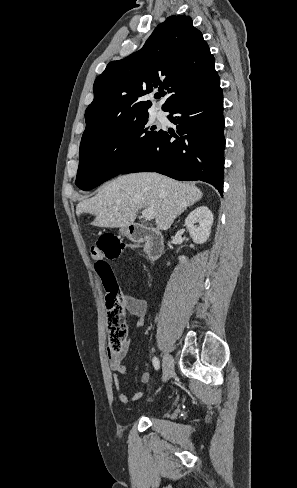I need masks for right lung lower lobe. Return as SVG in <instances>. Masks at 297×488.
Segmentation results:
<instances>
[{
  "instance_id": "98d812e1",
  "label": "right lung lower lobe",
  "mask_w": 297,
  "mask_h": 488,
  "mask_svg": "<svg viewBox=\"0 0 297 488\" xmlns=\"http://www.w3.org/2000/svg\"><path fill=\"white\" fill-rule=\"evenodd\" d=\"M169 112L176 133L161 130L122 174L158 172L177 180H202L222 196L225 138L219 77L184 97Z\"/></svg>"
}]
</instances>
